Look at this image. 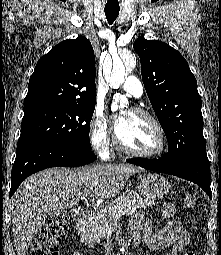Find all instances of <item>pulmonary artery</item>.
Listing matches in <instances>:
<instances>
[{
  "label": "pulmonary artery",
  "instance_id": "e3ab8cb5",
  "mask_svg": "<svg viewBox=\"0 0 221 255\" xmlns=\"http://www.w3.org/2000/svg\"><path fill=\"white\" fill-rule=\"evenodd\" d=\"M121 88L136 98H140L143 95L142 83L134 76L127 77Z\"/></svg>",
  "mask_w": 221,
  "mask_h": 255
}]
</instances>
